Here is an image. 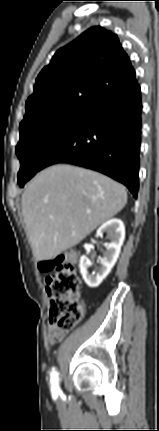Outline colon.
<instances>
[{
	"label": "colon",
	"instance_id": "obj_1",
	"mask_svg": "<svg viewBox=\"0 0 159 431\" xmlns=\"http://www.w3.org/2000/svg\"><path fill=\"white\" fill-rule=\"evenodd\" d=\"M76 262V254L66 252L39 264L42 271L50 273L46 278L50 318L57 327L65 331L72 329L82 315V306L77 300L80 279Z\"/></svg>",
	"mask_w": 159,
	"mask_h": 431
}]
</instances>
